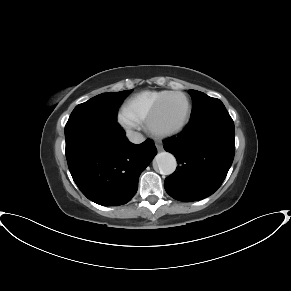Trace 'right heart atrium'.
<instances>
[{"label":"right heart atrium","mask_w":291,"mask_h":291,"mask_svg":"<svg viewBox=\"0 0 291 291\" xmlns=\"http://www.w3.org/2000/svg\"><path fill=\"white\" fill-rule=\"evenodd\" d=\"M118 122L127 131L135 129L138 125V121L133 116H131L126 110H121L119 112Z\"/></svg>","instance_id":"right-heart-atrium-1"}]
</instances>
